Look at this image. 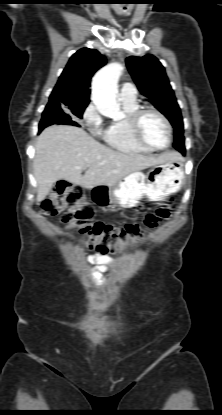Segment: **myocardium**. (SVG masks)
<instances>
[{
    "label": "myocardium",
    "mask_w": 222,
    "mask_h": 415,
    "mask_svg": "<svg viewBox=\"0 0 222 415\" xmlns=\"http://www.w3.org/2000/svg\"><path fill=\"white\" fill-rule=\"evenodd\" d=\"M147 113H154L156 114L166 125L167 128V132H168V141L166 143L165 146L162 147H158L155 145H152L151 143H149L143 136L142 134V130H141V122H142V118L145 114ZM129 124H130V128L131 131L135 137V139L144 147L151 149L152 151H161V150H165L167 149L171 143H172V139H173V129H172V125L171 122L169 121V119L167 118V116L161 112L159 109L153 107V106H142V107H138L133 113L130 114L129 116Z\"/></svg>",
    "instance_id": "f54148a6"
}]
</instances>
